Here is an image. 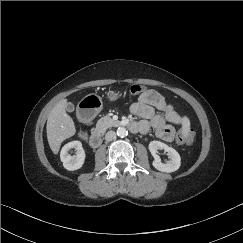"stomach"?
Listing matches in <instances>:
<instances>
[{"label":"stomach","mask_w":243,"mask_h":243,"mask_svg":"<svg viewBox=\"0 0 243 243\" xmlns=\"http://www.w3.org/2000/svg\"><path fill=\"white\" fill-rule=\"evenodd\" d=\"M108 98L115 101L119 98L118 93L111 91L108 93ZM103 108L102 99L97 94H89L79 102V110L82 112H90L92 115L98 114Z\"/></svg>","instance_id":"obj_1"}]
</instances>
